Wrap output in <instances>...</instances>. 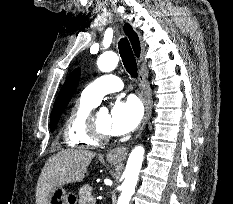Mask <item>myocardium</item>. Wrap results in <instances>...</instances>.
Instances as JSON below:
<instances>
[{
  "mask_svg": "<svg viewBox=\"0 0 233 204\" xmlns=\"http://www.w3.org/2000/svg\"><path fill=\"white\" fill-rule=\"evenodd\" d=\"M95 117L96 115L91 113L88 120L89 132L91 136L99 142L109 140L111 135L99 129Z\"/></svg>",
  "mask_w": 233,
  "mask_h": 204,
  "instance_id": "f54148a6",
  "label": "myocardium"
}]
</instances>
